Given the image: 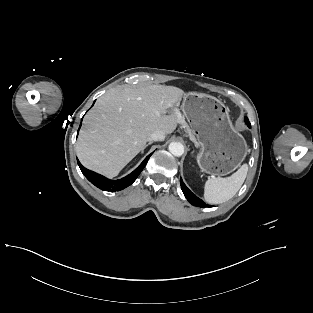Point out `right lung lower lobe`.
Masks as SVG:
<instances>
[{
	"mask_svg": "<svg viewBox=\"0 0 313 313\" xmlns=\"http://www.w3.org/2000/svg\"><path fill=\"white\" fill-rule=\"evenodd\" d=\"M151 155H152V153L150 155H148L144 159V161L139 165V167L136 168L132 173H130L129 175H127L121 179H118V180L107 179L106 177H104L100 174H97L93 171L86 169L85 167H83L81 165V163L78 160L77 161H78V165H79L82 173L84 174V176L92 184H94L96 187H98L104 191H119V190H122V189L128 187L129 185H131L136 180V178L139 176L141 171L144 169V167H145V165H146V163H147V161Z\"/></svg>",
	"mask_w": 313,
	"mask_h": 313,
	"instance_id": "1",
	"label": "right lung lower lobe"
}]
</instances>
